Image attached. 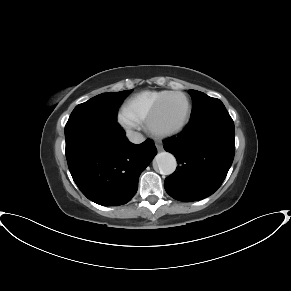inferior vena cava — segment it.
Masks as SVG:
<instances>
[{
	"label": "inferior vena cava",
	"mask_w": 291,
	"mask_h": 291,
	"mask_svg": "<svg viewBox=\"0 0 291 291\" xmlns=\"http://www.w3.org/2000/svg\"><path fill=\"white\" fill-rule=\"evenodd\" d=\"M127 137L129 139V141L134 143V144H140L145 140L141 133L134 132V131H129L127 133Z\"/></svg>",
	"instance_id": "inferior-vena-cava-1"
}]
</instances>
